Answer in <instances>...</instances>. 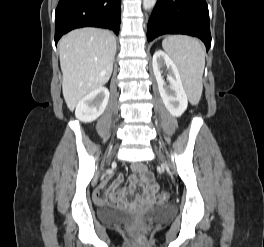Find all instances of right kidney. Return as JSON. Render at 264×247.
<instances>
[{
  "label": "right kidney",
  "mask_w": 264,
  "mask_h": 247,
  "mask_svg": "<svg viewBox=\"0 0 264 247\" xmlns=\"http://www.w3.org/2000/svg\"><path fill=\"white\" fill-rule=\"evenodd\" d=\"M109 95L106 87H100L88 93L76 106V118L85 123L96 120L105 111Z\"/></svg>",
  "instance_id": "right-kidney-1"
}]
</instances>
